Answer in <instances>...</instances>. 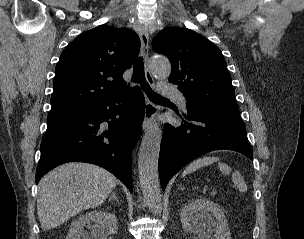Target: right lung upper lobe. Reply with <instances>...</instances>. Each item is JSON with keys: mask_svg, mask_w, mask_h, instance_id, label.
Returning <instances> with one entry per match:
<instances>
[{"mask_svg": "<svg viewBox=\"0 0 304 239\" xmlns=\"http://www.w3.org/2000/svg\"><path fill=\"white\" fill-rule=\"evenodd\" d=\"M139 49V37L129 29L104 24L79 35L56 66L47 121L78 114L129 89L122 75Z\"/></svg>", "mask_w": 304, "mask_h": 239, "instance_id": "cb5924a9", "label": "right lung upper lobe"}]
</instances>
